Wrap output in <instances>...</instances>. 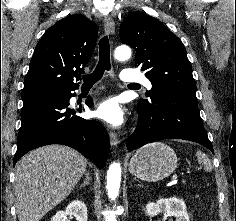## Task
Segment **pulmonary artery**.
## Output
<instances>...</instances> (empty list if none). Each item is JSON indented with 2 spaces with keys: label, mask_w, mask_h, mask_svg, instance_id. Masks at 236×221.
<instances>
[{
  "label": "pulmonary artery",
  "mask_w": 236,
  "mask_h": 221,
  "mask_svg": "<svg viewBox=\"0 0 236 221\" xmlns=\"http://www.w3.org/2000/svg\"><path fill=\"white\" fill-rule=\"evenodd\" d=\"M120 78L126 82L141 83L149 90L152 88L151 82L144 75L135 73L132 70H127V69L123 70L120 74Z\"/></svg>",
  "instance_id": "obj_1"
}]
</instances>
